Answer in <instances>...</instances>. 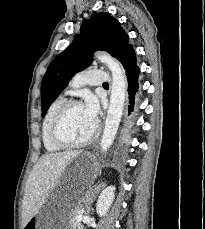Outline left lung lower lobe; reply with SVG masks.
<instances>
[{"label":"left lung lower lobe","instance_id":"obj_1","mask_svg":"<svg viewBox=\"0 0 205 229\" xmlns=\"http://www.w3.org/2000/svg\"><path fill=\"white\" fill-rule=\"evenodd\" d=\"M118 60L126 70L128 80V95H129V108L128 115L130 119L127 123V131L129 132L133 126V117L137 111L138 100H139V85L138 78L140 70L136 64V54L132 45L127 46L122 53L119 55ZM127 141L124 143L126 144Z\"/></svg>","mask_w":205,"mask_h":229}]
</instances>
